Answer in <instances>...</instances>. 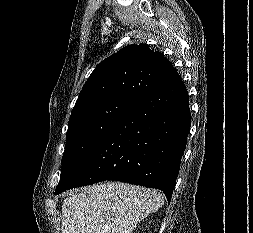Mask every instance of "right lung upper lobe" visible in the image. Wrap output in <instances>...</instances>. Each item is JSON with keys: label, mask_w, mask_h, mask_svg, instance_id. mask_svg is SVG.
Returning <instances> with one entry per match:
<instances>
[{"label": "right lung upper lobe", "mask_w": 253, "mask_h": 233, "mask_svg": "<svg viewBox=\"0 0 253 233\" xmlns=\"http://www.w3.org/2000/svg\"><path fill=\"white\" fill-rule=\"evenodd\" d=\"M176 73L161 52L147 44L128 45L94 69L73 110L111 97L136 100Z\"/></svg>", "instance_id": "obj_1"}]
</instances>
